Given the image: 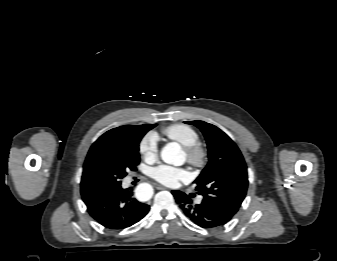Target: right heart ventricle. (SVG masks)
I'll return each mask as SVG.
<instances>
[{"instance_id": "e07e8e85", "label": "right heart ventricle", "mask_w": 337, "mask_h": 261, "mask_svg": "<svg viewBox=\"0 0 337 261\" xmlns=\"http://www.w3.org/2000/svg\"><path fill=\"white\" fill-rule=\"evenodd\" d=\"M162 134L169 140L178 142L184 147L199 143V134L197 131L182 123L170 124L164 127Z\"/></svg>"}]
</instances>
